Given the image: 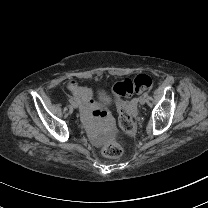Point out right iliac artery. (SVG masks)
Segmentation results:
<instances>
[{
  "mask_svg": "<svg viewBox=\"0 0 208 208\" xmlns=\"http://www.w3.org/2000/svg\"><path fill=\"white\" fill-rule=\"evenodd\" d=\"M69 103L73 104L74 103L73 99H69Z\"/></svg>",
  "mask_w": 208,
  "mask_h": 208,
  "instance_id": "right-iliac-artery-1",
  "label": "right iliac artery"
}]
</instances>
